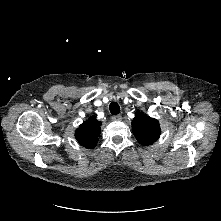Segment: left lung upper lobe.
Instances as JSON below:
<instances>
[{"instance_id":"obj_1","label":"left lung upper lobe","mask_w":221,"mask_h":221,"mask_svg":"<svg viewBox=\"0 0 221 221\" xmlns=\"http://www.w3.org/2000/svg\"><path fill=\"white\" fill-rule=\"evenodd\" d=\"M132 130L137 141L142 145H150L158 140L161 128L158 121L137 111L132 120Z\"/></svg>"}]
</instances>
